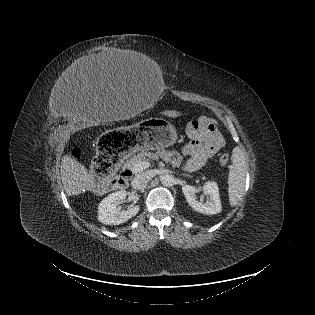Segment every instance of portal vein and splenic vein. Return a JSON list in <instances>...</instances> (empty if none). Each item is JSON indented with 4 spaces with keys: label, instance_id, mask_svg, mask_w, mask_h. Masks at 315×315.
I'll return each mask as SVG.
<instances>
[{
    "label": "portal vein and splenic vein",
    "instance_id": "1",
    "mask_svg": "<svg viewBox=\"0 0 315 315\" xmlns=\"http://www.w3.org/2000/svg\"><path fill=\"white\" fill-rule=\"evenodd\" d=\"M149 166H150V164L148 162H139L134 166L132 171L134 173H140L141 171L148 168Z\"/></svg>",
    "mask_w": 315,
    "mask_h": 315
}]
</instances>
